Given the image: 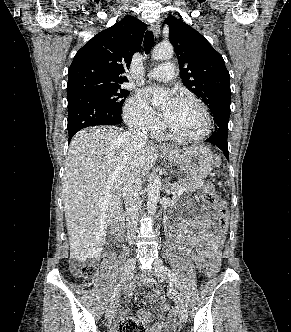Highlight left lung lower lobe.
Returning <instances> with one entry per match:
<instances>
[{"instance_id": "left-lung-lower-lobe-1", "label": "left lung lower lobe", "mask_w": 291, "mask_h": 332, "mask_svg": "<svg viewBox=\"0 0 291 332\" xmlns=\"http://www.w3.org/2000/svg\"><path fill=\"white\" fill-rule=\"evenodd\" d=\"M212 116L216 123L215 132L207 139L223 151L226 158L229 160L227 136H228V121L230 116V104L222 103L212 112Z\"/></svg>"}]
</instances>
